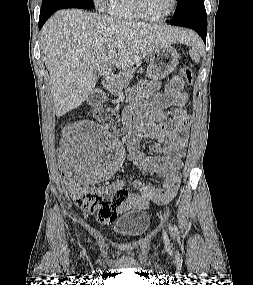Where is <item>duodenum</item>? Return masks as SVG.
Returning a JSON list of instances; mask_svg holds the SVG:
<instances>
[{"mask_svg": "<svg viewBox=\"0 0 253 285\" xmlns=\"http://www.w3.org/2000/svg\"><path fill=\"white\" fill-rule=\"evenodd\" d=\"M108 86H109V81L107 79L103 80L102 87L108 88ZM102 99H103V94L101 91L93 92L89 98V102L95 108L96 115L98 116L102 115V110L100 109V104L102 102Z\"/></svg>", "mask_w": 253, "mask_h": 285, "instance_id": "duodenum-1", "label": "duodenum"}]
</instances>
